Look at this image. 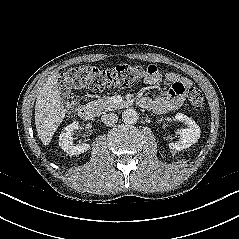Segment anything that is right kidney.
<instances>
[{"instance_id": "1", "label": "right kidney", "mask_w": 239, "mask_h": 239, "mask_svg": "<svg viewBox=\"0 0 239 239\" xmlns=\"http://www.w3.org/2000/svg\"><path fill=\"white\" fill-rule=\"evenodd\" d=\"M79 128V123L74 121L73 123L67 125L59 136V146L67 154L79 155L90 149V145L87 143L74 145L73 144V131Z\"/></svg>"}]
</instances>
